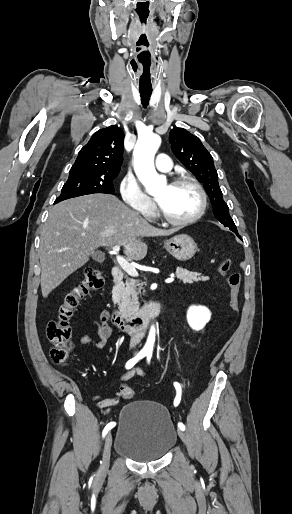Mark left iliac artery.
<instances>
[{
    "label": "left iliac artery",
    "mask_w": 292,
    "mask_h": 514,
    "mask_svg": "<svg viewBox=\"0 0 292 514\" xmlns=\"http://www.w3.org/2000/svg\"><path fill=\"white\" fill-rule=\"evenodd\" d=\"M151 357H152V353L149 352L147 354V363L148 364L150 363ZM174 387H175V389L177 391V396H176V399L174 401V405L177 406L179 404L180 398H181V385L178 382H174ZM178 427L182 431L185 430V425L183 423H181V422L178 423Z\"/></svg>",
    "instance_id": "1"
}]
</instances>
